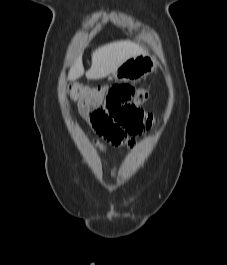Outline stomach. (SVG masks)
Instances as JSON below:
<instances>
[{
	"instance_id": "stomach-1",
	"label": "stomach",
	"mask_w": 227,
	"mask_h": 265,
	"mask_svg": "<svg viewBox=\"0 0 227 265\" xmlns=\"http://www.w3.org/2000/svg\"><path fill=\"white\" fill-rule=\"evenodd\" d=\"M157 67L156 60L143 52L137 56L130 57L123 62L115 71L112 77L118 81H137L151 74Z\"/></svg>"
}]
</instances>
